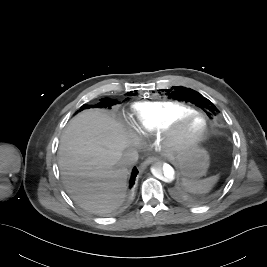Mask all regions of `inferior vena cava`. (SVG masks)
<instances>
[{
    "label": "inferior vena cava",
    "instance_id": "1",
    "mask_svg": "<svg viewBox=\"0 0 267 267\" xmlns=\"http://www.w3.org/2000/svg\"><path fill=\"white\" fill-rule=\"evenodd\" d=\"M138 153L136 151H129L123 155V162L126 166H132L138 161Z\"/></svg>",
    "mask_w": 267,
    "mask_h": 267
}]
</instances>
